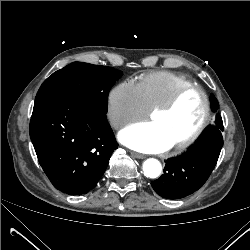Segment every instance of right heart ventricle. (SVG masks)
Returning a JSON list of instances; mask_svg holds the SVG:
<instances>
[{"mask_svg":"<svg viewBox=\"0 0 250 250\" xmlns=\"http://www.w3.org/2000/svg\"><path fill=\"white\" fill-rule=\"evenodd\" d=\"M191 84L185 76L168 71L147 73L136 83L148 110L164 104L178 89Z\"/></svg>","mask_w":250,"mask_h":250,"instance_id":"1","label":"right heart ventricle"}]
</instances>
